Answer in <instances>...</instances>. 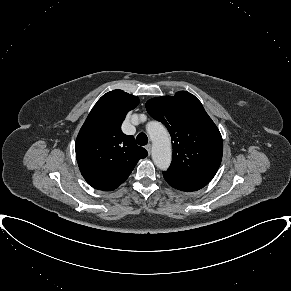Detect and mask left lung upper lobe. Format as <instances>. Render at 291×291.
Returning <instances> with one entry per match:
<instances>
[{
  "label": "left lung upper lobe",
  "instance_id": "obj_1",
  "mask_svg": "<svg viewBox=\"0 0 291 291\" xmlns=\"http://www.w3.org/2000/svg\"><path fill=\"white\" fill-rule=\"evenodd\" d=\"M146 109L171 135L173 158L168 172L210 182L222 160L223 140L201 102L180 91L175 96L150 99Z\"/></svg>",
  "mask_w": 291,
  "mask_h": 291
}]
</instances>
